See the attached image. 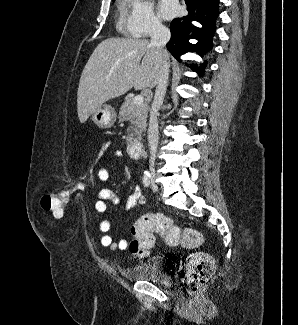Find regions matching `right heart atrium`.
Masks as SVG:
<instances>
[{"label":"right heart atrium","mask_w":298,"mask_h":325,"mask_svg":"<svg viewBox=\"0 0 298 325\" xmlns=\"http://www.w3.org/2000/svg\"><path fill=\"white\" fill-rule=\"evenodd\" d=\"M129 8L131 25L125 26L126 37H133L134 41H145L149 30L163 29L151 0H133Z\"/></svg>","instance_id":"right-heart-atrium-1"}]
</instances>
